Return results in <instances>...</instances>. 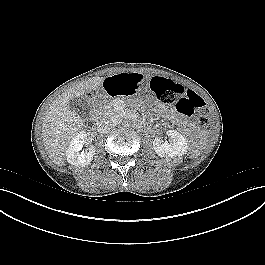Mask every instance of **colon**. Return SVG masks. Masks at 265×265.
<instances>
[{
  "label": "colon",
  "mask_w": 265,
  "mask_h": 265,
  "mask_svg": "<svg viewBox=\"0 0 265 265\" xmlns=\"http://www.w3.org/2000/svg\"><path fill=\"white\" fill-rule=\"evenodd\" d=\"M156 98L163 104L175 105L177 110L194 116L203 128L211 125L210 112L204 100L195 92L186 90L181 84L163 77H154L151 82Z\"/></svg>",
  "instance_id": "obj_1"
}]
</instances>
